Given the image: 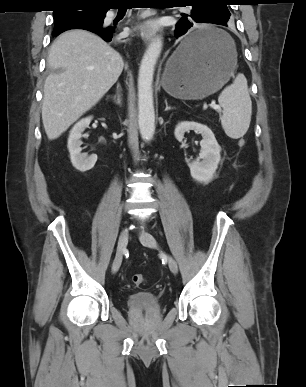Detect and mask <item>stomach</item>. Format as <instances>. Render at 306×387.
Here are the masks:
<instances>
[{
  "instance_id": "0dacf381",
  "label": "stomach",
  "mask_w": 306,
  "mask_h": 387,
  "mask_svg": "<svg viewBox=\"0 0 306 387\" xmlns=\"http://www.w3.org/2000/svg\"><path fill=\"white\" fill-rule=\"evenodd\" d=\"M211 30L218 39L210 47L193 54H184L182 44L167 60L162 75L164 90L180 99H203L219 90L234 74L237 52L231 37L216 27Z\"/></svg>"
}]
</instances>
